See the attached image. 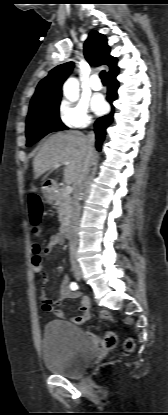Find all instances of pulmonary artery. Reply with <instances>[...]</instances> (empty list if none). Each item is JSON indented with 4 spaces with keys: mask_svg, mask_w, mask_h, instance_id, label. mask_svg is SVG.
Here are the masks:
<instances>
[{
    "mask_svg": "<svg viewBox=\"0 0 168 415\" xmlns=\"http://www.w3.org/2000/svg\"><path fill=\"white\" fill-rule=\"evenodd\" d=\"M90 87L94 91H99V90L102 89V83H101L98 75L95 74L91 77Z\"/></svg>",
    "mask_w": 168,
    "mask_h": 415,
    "instance_id": "pulmonary-artery-1",
    "label": "pulmonary artery"
}]
</instances>
